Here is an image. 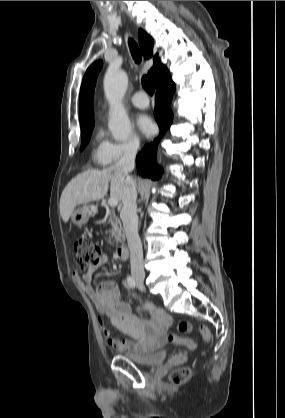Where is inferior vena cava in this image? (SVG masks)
Wrapping results in <instances>:
<instances>
[{
    "instance_id": "inferior-vena-cava-1",
    "label": "inferior vena cava",
    "mask_w": 285,
    "mask_h": 418,
    "mask_svg": "<svg viewBox=\"0 0 285 418\" xmlns=\"http://www.w3.org/2000/svg\"><path fill=\"white\" fill-rule=\"evenodd\" d=\"M137 150V144H130L115 164V169L124 177L121 219L130 250L131 273L144 276L142 243L138 235L137 190L133 178L129 175L135 166Z\"/></svg>"
}]
</instances>
